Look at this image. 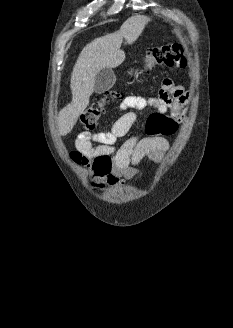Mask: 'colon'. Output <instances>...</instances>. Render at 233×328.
Listing matches in <instances>:
<instances>
[{
  "label": "colon",
  "mask_w": 233,
  "mask_h": 328,
  "mask_svg": "<svg viewBox=\"0 0 233 328\" xmlns=\"http://www.w3.org/2000/svg\"><path fill=\"white\" fill-rule=\"evenodd\" d=\"M146 64L148 68L163 66L167 68L185 67L187 58L184 48L179 44H163L152 48L147 56ZM102 97L92 102L81 114L80 121L86 129H93L104 111L106 103L111 97ZM177 120L166 113L154 112L149 115L146 121V134L148 137L170 136L177 130ZM73 160L82 165L92 167L98 176L107 175L111 169V158L107 155L88 156L81 151L72 153Z\"/></svg>",
  "instance_id": "colon-1"
}]
</instances>
